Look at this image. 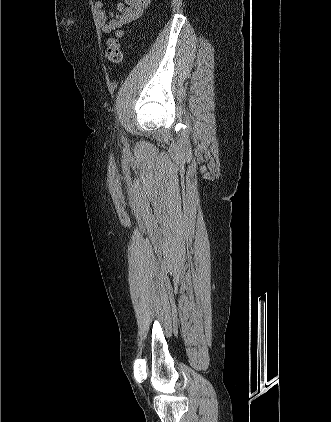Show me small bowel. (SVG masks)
I'll use <instances>...</instances> for the list:
<instances>
[{"instance_id": "obj_1", "label": "small bowel", "mask_w": 331, "mask_h": 422, "mask_svg": "<svg viewBox=\"0 0 331 422\" xmlns=\"http://www.w3.org/2000/svg\"><path fill=\"white\" fill-rule=\"evenodd\" d=\"M150 2L151 0H123L117 5L115 13L108 14L103 1H96L94 7L100 29L105 33L116 31L118 36H122L124 28L140 17Z\"/></svg>"}]
</instances>
